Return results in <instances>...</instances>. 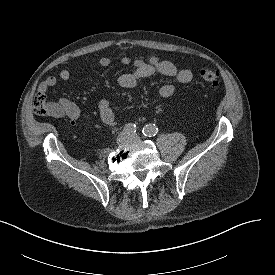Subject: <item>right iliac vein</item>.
<instances>
[{
	"instance_id": "63e3f726",
	"label": "right iliac vein",
	"mask_w": 275,
	"mask_h": 275,
	"mask_svg": "<svg viewBox=\"0 0 275 275\" xmlns=\"http://www.w3.org/2000/svg\"><path fill=\"white\" fill-rule=\"evenodd\" d=\"M129 139H130L129 136L126 133H122L118 138V142L124 143V142H127Z\"/></svg>"
}]
</instances>
